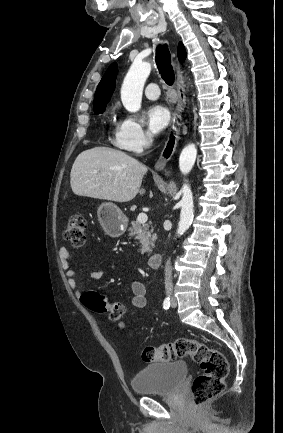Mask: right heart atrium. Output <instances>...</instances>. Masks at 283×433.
<instances>
[{
  "label": "right heart atrium",
  "instance_id": "right-heart-atrium-1",
  "mask_svg": "<svg viewBox=\"0 0 283 433\" xmlns=\"http://www.w3.org/2000/svg\"><path fill=\"white\" fill-rule=\"evenodd\" d=\"M112 143L131 155H140L150 145L151 138L136 115L126 114L115 128Z\"/></svg>",
  "mask_w": 283,
  "mask_h": 433
}]
</instances>
